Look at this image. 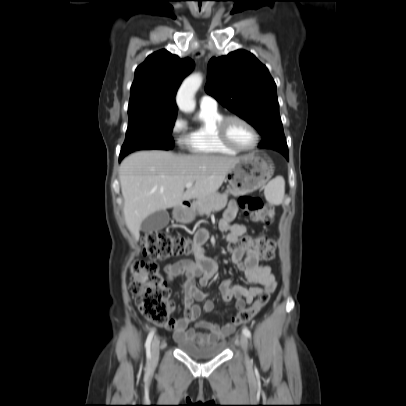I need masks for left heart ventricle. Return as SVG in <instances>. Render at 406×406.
Listing matches in <instances>:
<instances>
[{
    "label": "left heart ventricle",
    "mask_w": 406,
    "mask_h": 406,
    "mask_svg": "<svg viewBox=\"0 0 406 406\" xmlns=\"http://www.w3.org/2000/svg\"><path fill=\"white\" fill-rule=\"evenodd\" d=\"M230 140L239 147H251L255 141L252 131L243 123L232 120L227 127Z\"/></svg>",
    "instance_id": "b2bd125f"
}]
</instances>
